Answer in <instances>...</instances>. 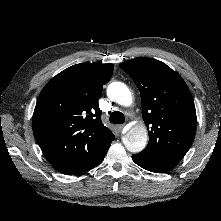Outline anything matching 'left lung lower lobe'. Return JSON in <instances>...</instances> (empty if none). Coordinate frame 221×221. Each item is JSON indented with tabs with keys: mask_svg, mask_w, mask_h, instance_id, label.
<instances>
[{
	"mask_svg": "<svg viewBox=\"0 0 221 221\" xmlns=\"http://www.w3.org/2000/svg\"><path fill=\"white\" fill-rule=\"evenodd\" d=\"M132 159L140 167L155 173H166L177 165L141 153L133 155Z\"/></svg>",
	"mask_w": 221,
	"mask_h": 221,
	"instance_id": "1",
	"label": "left lung lower lobe"
}]
</instances>
